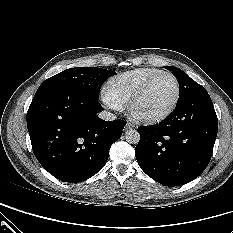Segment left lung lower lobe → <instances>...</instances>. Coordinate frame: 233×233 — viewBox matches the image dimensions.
Segmentation results:
<instances>
[{"label": "left lung lower lobe", "instance_id": "0a47b994", "mask_svg": "<svg viewBox=\"0 0 233 233\" xmlns=\"http://www.w3.org/2000/svg\"><path fill=\"white\" fill-rule=\"evenodd\" d=\"M218 119L207 91L177 103L159 124L138 128L135 148L141 169L165 186L197 178L207 167L217 136Z\"/></svg>", "mask_w": 233, "mask_h": 233}]
</instances>
